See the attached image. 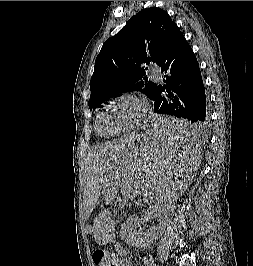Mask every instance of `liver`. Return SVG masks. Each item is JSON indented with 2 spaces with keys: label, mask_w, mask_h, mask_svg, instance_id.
Masks as SVG:
<instances>
[{
  "label": "liver",
  "mask_w": 253,
  "mask_h": 266,
  "mask_svg": "<svg viewBox=\"0 0 253 266\" xmlns=\"http://www.w3.org/2000/svg\"><path fill=\"white\" fill-rule=\"evenodd\" d=\"M133 139L132 136L105 143L93 148L85 160V171L86 178L88 180L89 186L87 187L86 197L88 194H93L95 192L97 195L101 189L99 183L101 182L102 176V166L103 163L109 159V157L115 156L117 153L124 148V146ZM111 158L109 160H111ZM108 160V161H109ZM92 200L95 195H91ZM94 235V233H93ZM97 240V239H96Z\"/></svg>",
  "instance_id": "liver-1"
}]
</instances>
